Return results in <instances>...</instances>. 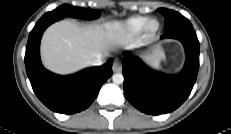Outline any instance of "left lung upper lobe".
Returning <instances> with one entry per match:
<instances>
[{
    "label": "left lung upper lobe",
    "instance_id": "1",
    "mask_svg": "<svg viewBox=\"0 0 231 134\" xmlns=\"http://www.w3.org/2000/svg\"><path fill=\"white\" fill-rule=\"evenodd\" d=\"M157 11L160 12L165 18V33L180 27L192 26L190 21L178 12L163 8L158 9Z\"/></svg>",
    "mask_w": 231,
    "mask_h": 134
}]
</instances>
